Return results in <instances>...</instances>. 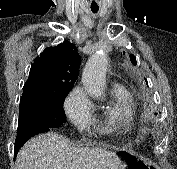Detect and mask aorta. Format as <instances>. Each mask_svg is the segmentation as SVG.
<instances>
[{"instance_id": "1", "label": "aorta", "mask_w": 177, "mask_h": 169, "mask_svg": "<svg viewBox=\"0 0 177 169\" xmlns=\"http://www.w3.org/2000/svg\"><path fill=\"white\" fill-rule=\"evenodd\" d=\"M108 56L104 51H97L87 61L82 73L85 91L95 99H101L106 85Z\"/></svg>"}]
</instances>
